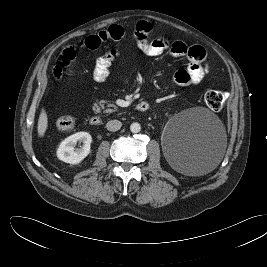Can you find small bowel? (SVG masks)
Instances as JSON below:
<instances>
[{"mask_svg":"<svg viewBox=\"0 0 267 267\" xmlns=\"http://www.w3.org/2000/svg\"><path fill=\"white\" fill-rule=\"evenodd\" d=\"M152 31L149 21H139L134 30V37L138 48L149 56H158L169 52L173 57H184L188 60L185 69L178 70L174 75V81L180 86L199 84L207 73L205 64V50L198 45H187L181 41L169 42L165 38L149 40L148 35ZM126 34L125 28L121 25H112L96 34L89 35L77 43L65 47L58 55L53 74L61 78L63 69L76 57L80 49H97L102 43L121 40ZM117 53L109 49L96 61L93 78L97 82H103L109 75L110 67Z\"/></svg>","mask_w":267,"mask_h":267,"instance_id":"obj_1","label":"small bowel"}]
</instances>
